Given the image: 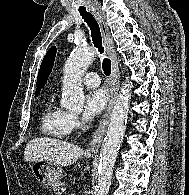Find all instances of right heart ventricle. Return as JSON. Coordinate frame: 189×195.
<instances>
[{
	"label": "right heart ventricle",
	"mask_w": 189,
	"mask_h": 195,
	"mask_svg": "<svg viewBox=\"0 0 189 195\" xmlns=\"http://www.w3.org/2000/svg\"><path fill=\"white\" fill-rule=\"evenodd\" d=\"M69 114L55 102L53 97H50L42 110L40 119L41 133L55 138L66 137L69 133Z\"/></svg>",
	"instance_id": "obj_1"
}]
</instances>
